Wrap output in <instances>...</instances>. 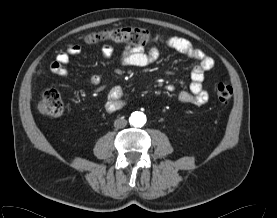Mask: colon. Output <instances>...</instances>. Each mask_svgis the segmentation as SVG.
<instances>
[{"label":"colon","mask_w":277,"mask_h":218,"mask_svg":"<svg viewBox=\"0 0 277 218\" xmlns=\"http://www.w3.org/2000/svg\"><path fill=\"white\" fill-rule=\"evenodd\" d=\"M101 40H109L117 44H125L132 47H145L151 42V36L146 29L125 27L92 33L86 38V41L89 43H96ZM215 90L220 101L227 102L233 96V88L227 83H217ZM38 109L42 114L50 116L60 115L63 111V103L59 92L53 88L43 91L38 103Z\"/></svg>","instance_id":"5ec220e1"}]
</instances>
